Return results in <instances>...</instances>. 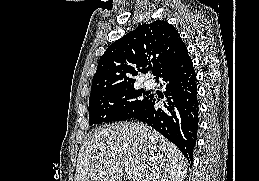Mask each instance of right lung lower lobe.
<instances>
[{
    "instance_id": "98d812e1",
    "label": "right lung lower lobe",
    "mask_w": 259,
    "mask_h": 181,
    "mask_svg": "<svg viewBox=\"0 0 259 181\" xmlns=\"http://www.w3.org/2000/svg\"><path fill=\"white\" fill-rule=\"evenodd\" d=\"M164 85L165 105L158 107L153 95L132 118L153 127L174 143L192 166L197 139L198 100L196 74L188 51L156 76Z\"/></svg>"
}]
</instances>
